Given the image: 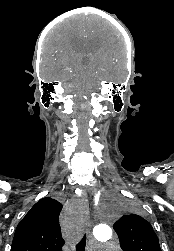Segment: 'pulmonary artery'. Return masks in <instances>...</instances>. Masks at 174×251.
I'll return each mask as SVG.
<instances>
[{"label":"pulmonary artery","instance_id":"e3ab8cb5","mask_svg":"<svg viewBox=\"0 0 174 251\" xmlns=\"http://www.w3.org/2000/svg\"><path fill=\"white\" fill-rule=\"evenodd\" d=\"M103 247H110V245L109 244H104Z\"/></svg>","mask_w":174,"mask_h":251}]
</instances>
